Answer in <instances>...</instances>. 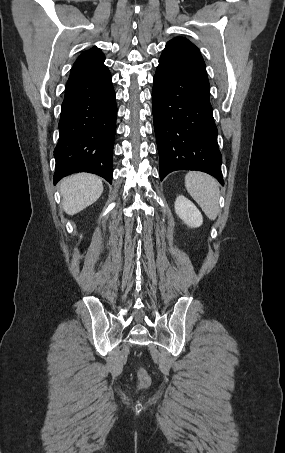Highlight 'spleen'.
<instances>
[{"instance_id": "obj_1", "label": "spleen", "mask_w": 285, "mask_h": 453, "mask_svg": "<svg viewBox=\"0 0 285 453\" xmlns=\"http://www.w3.org/2000/svg\"><path fill=\"white\" fill-rule=\"evenodd\" d=\"M185 186L206 216L215 220L219 213V184L215 178L203 172H188Z\"/></svg>"}]
</instances>
